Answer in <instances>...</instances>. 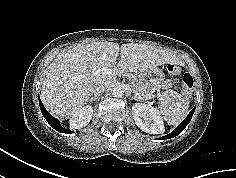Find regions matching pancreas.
Returning a JSON list of instances; mask_svg holds the SVG:
<instances>
[{"mask_svg": "<svg viewBox=\"0 0 236 178\" xmlns=\"http://www.w3.org/2000/svg\"><path fill=\"white\" fill-rule=\"evenodd\" d=\"M125 76L129 79L132 84L133 91L137 92L143 100H147L151 97L148 90L140 83L137 76L131 73H125Z\"/></svg>", "mask_w": 236, "mask_h": 178, "instance_id": "obj_1", "label": "pancreas"}]
</instances>
